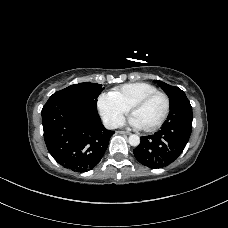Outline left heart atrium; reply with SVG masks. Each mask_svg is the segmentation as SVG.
I'll list each match as a JSON object with an SVG mask.
<instances>
[{
    "label": "left heart atrium",
    "instance_id": "obj_1",
    "mask_svg": "<svg viewBox=\"0 0 228 228\" xmlns=\"http://www.w3.org/2000/svg\"><path fill=\"white\" fill-rule=\"evenodd\" d=\"M128 124L134 128H141L140 124L133 116L128 119Z\"/></svg>",
    "mask_w": 228,
    "mask_h": 228
}]
</instances>
